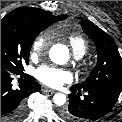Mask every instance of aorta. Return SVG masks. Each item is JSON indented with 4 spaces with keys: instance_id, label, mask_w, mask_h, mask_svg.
Wrapping results in <instances>:
<instances>
[{
    "instance_id": "762f6f07",
    "label": "aorta",
    "mask_w": 122,
    "mask_h": 122,
    "mask_svg": "<svg viewBox=\"0 0 122 122\" xmlns=\"http://www.w3.org/2000/svg\"><path fill=\"white\" fill-rule=\"evenodd\" d=\"M49 57L56 64H64L69 59V50L63 44H55L49 50ZM53 102L57 106H62L66 103V96L62 93H56L53 96Z\"/></svg>"
}]
</instances>
